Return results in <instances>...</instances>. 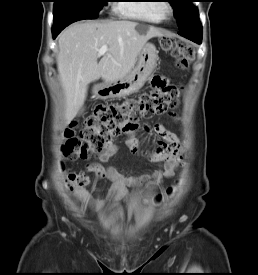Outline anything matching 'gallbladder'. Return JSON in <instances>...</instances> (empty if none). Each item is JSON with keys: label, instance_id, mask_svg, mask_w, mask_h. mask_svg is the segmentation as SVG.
Instances as JSON below:
<instances>
[{"label": "gallbladder", "instance_id": "gallbladder-1", "mask_svg": "<svg viewBox=\"0 0 258 275\" xmlns=\"http://www.w3.org/2000/svg\"><path fill=\"white\" fill-rule=\"evenodd\" d=\"M84 110H85V108H84V107H81L80 110L78 111V115L83 114Z\"/></svg>", "mask_w": 258, "mask_h": 275}]
</instances>
